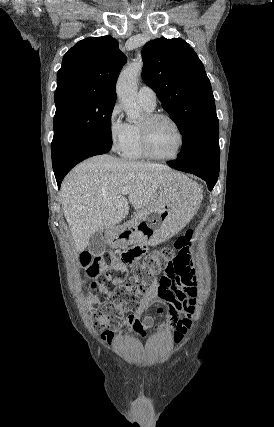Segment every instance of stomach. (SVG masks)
I'll list each match as a JSON object with an SVG mask.
<instances>
[{
    "label": "stomach",
    "mask_w": 274,
    "mask_h": 427,
    "mask_svg": "<svg viewBox=\"0 0 274 427\" xmlns=\"http://www.w3.org/2000/svg\"><path fill=\"white\" fill-rule=\"evenodd\" d=\"M171 194L162 196L159 190L158 198L152 206L133 215L123 225H116L106 233L110 247H127L132 243L157 245L166 241L179 231L177 219L182 227L190 221L198 206V186L188 178L172 176L170 182Z\"/></svg>",
    "instance_id": "1"
}]
</instances>
